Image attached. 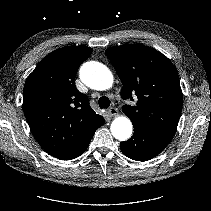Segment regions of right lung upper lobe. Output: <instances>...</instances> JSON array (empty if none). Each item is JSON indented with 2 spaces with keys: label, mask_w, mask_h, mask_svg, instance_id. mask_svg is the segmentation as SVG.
Here are the masks:
<instances>
[{
  "label": "right lung upper lobe",
  "mask_w": 211,
  "mask_h": 211,
  "mask_svg": "<svg viewBox=\"0 0 211 211\" xmlns=\"http://www.w3.org/2000/svg\"><path fill=\"white\" fill-rule=\"evenodd\" d=\"M92 53L86 46H66L44 57L27 78L23 111L39 145L59 157L87 139L104 119L74 83L77 70Z\"/></svg>",
  "instance_id": "obj_1"
}]
</instances>
